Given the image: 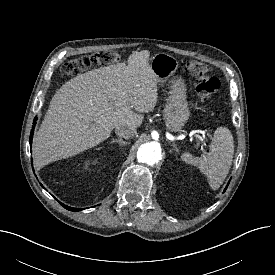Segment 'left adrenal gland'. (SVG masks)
I'll return each mask as SVG.
<instances>
[{"mask_svg": "<svg viewBox=\"0 0 275 275\" xmlns=\"http://www.w3.org/2000/svg\"><path fill=\"white\" fill-rule=\"evenodd\" d=\"M172 147L176 152H178L179 148L177 147V145L174 142L172 143Z\"/></svg>", "mask_w": 275, "mask_h": 275, "instance_id": "1", "label": "left adrenal gland"}]
</instances>
